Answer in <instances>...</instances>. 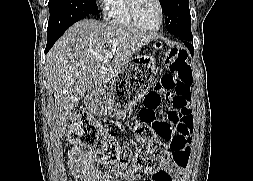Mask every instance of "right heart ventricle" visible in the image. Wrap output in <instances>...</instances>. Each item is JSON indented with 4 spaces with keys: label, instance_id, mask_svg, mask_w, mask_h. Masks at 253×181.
<instances>
[{
    "label": "right heart ventricle",
    "instance_id": "e07e8e85",
    "mask_svg": "<svg viewBox=\"0 0 253 181\" xmlns=\"http://www.w3.org/2000/svg\"><path fill=\"white\" fill-rule=\"evenodd\" d=\"M102 10L108 24L119 28H136L128 13V0H102Z\"/></svg>",
    "mask_w": 253,
    "mask_h": 181
}]
</instances>
